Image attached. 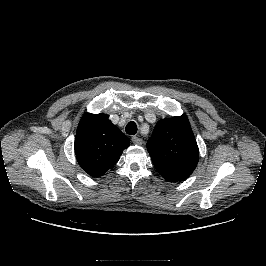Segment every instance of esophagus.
Wrapping results in <instances>:
<instances>
[{
	"label": "esophagus",
	"instance_id": "esophagus-1",
	"mask_svg": "<svg viewBox=\"0 0 266 266\" xmlns=\"http://www.w3.org/2000/svg\"><path fill=\"white\" fill-rule=\"evenodd\" d=\"M131 141L136 145H141L143 143V140L137 136H133Z\"/></svg>",
	"mask_w": 266,
	"mask_h": 266
}]
</instances>
